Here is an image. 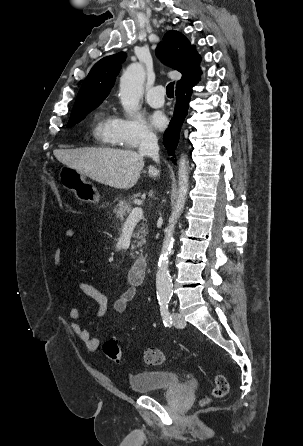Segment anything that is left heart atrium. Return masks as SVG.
<instances>
[{"label": "left heart atrium", "mask_w": 303, "mask_h": 446, "mask_svg": "<svg viewBox=\"0 0 303 446\" xmlns=\"http://www.w3.org/2000/svg\"><path fill=\"white\" fill-rule=\"evenodd\" d=\"M150 122L155 129L162 131L166 128L168 119L162 112L157 111L151 114Z\"/></svg>", "instance_id": "39dd6f15"}]
</instances>
